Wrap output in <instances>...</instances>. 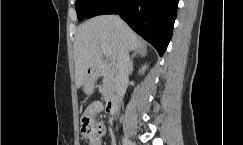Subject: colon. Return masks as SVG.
I'll use <instances>...</instances> for the list:
<instances>
[{
	"instance_id": "obj_1",
	"label": "colon",
	"mask_w": 243,
	"mask_h": 145,
	"mask_svg": "<svg viewBox=\"0 0 243 145\" xmlns=\"http://www.w3.org/2000/svg\"><path fill=\"white\" fill-rule=\"evenodd\" d=\"M95 126L91 118L87 115H84L81 120V135L83 138L87 139L94 134Z\"/></svg>"
}]
</instances>
